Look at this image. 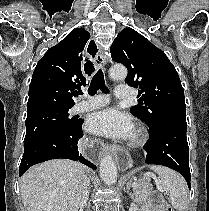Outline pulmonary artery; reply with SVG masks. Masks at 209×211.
Masks as SVG:
<instances>
[{"instance_id":"1","label":"pulmonary artery","mask_w":209,"mask_h":211,"mask_svg":"<svg viewBox=\"0 0 209 211\" xmlns=\"http://www.w3.org/2000/svg\"><path fill=\"white\" fill-rule=\"evenodd\" d=\"M114 95L118 99H127L131 96V89L127 85H118L115 88ZM108 103L109 98L107 95L99 94L89 96L87 99H82L79 101L75 105L74 111L76 113H81L89 110L99 109L106 106Z\"/></svg>"}]
</instances>
